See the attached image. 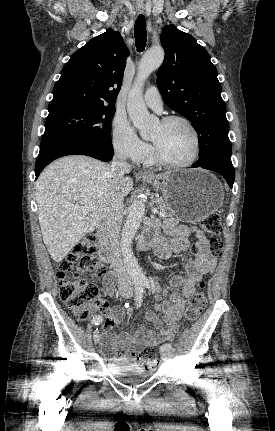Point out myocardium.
I'll return each mask as SVG.
<instances>
[{
    "mask_svg": "<svg viewBox=\"0 0 275 431\" xmlns=\"http://www.w3.org/2000/svg\"><path fill=\"white\" fill-rule=\"evenodd\" d=\"M173 122L183 123L191 132V134L193 136V140H194V151H193L192 156L185 162L172 163V162H169V161L165 160L164 158H162L160 156V154L158 153V151L156 150L155 146L152 144L151 149H150L151 159L155 164H157L161 167H164V168H168V169H180V168L189 167L196 162V160L198 159V157L200 155V151H201L200 136H199L196 128L194 127V125L191 123V121L188 120L187 118L183 117V116L171 115V116L164 117L160 121V123L162 125H168V124L173 123Z\"/></svg>",
    "mask_w": 275,
    "mask_h": 431,
    "instance_id": "myocardium-1",
    "label": "myocardium"
}]
</instances>
